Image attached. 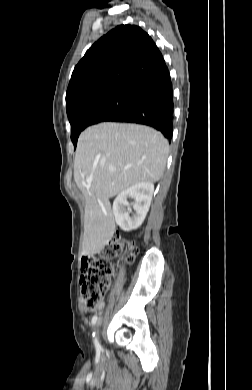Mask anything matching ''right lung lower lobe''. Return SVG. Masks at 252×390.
Wrapping results in <instances>:
<instances>
[{"mask_svg":"<svg viewBox=\"0 0 252 390\" xmlns=\"http://www.w3.org/2000/svg\"><path fill=\"white\" fill-rule=\"evenodd\" d=\"M173 88L170 76L149 85L134 101L106 121L129 122L151 126L171 141L173 130Z\"/></svg>","mask_w":252,"mask_h":390,"instance_id":"obj_1","label":"right lung lower lobe"}]
</instances>
